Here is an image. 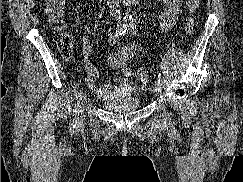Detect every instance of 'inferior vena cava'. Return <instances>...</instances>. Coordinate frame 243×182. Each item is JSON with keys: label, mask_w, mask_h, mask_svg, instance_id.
<instances>
[{"label": "inferior vena cava", "mask_w": 243, "mask_h": 182, "mask_svg": "<svg viewBox=\"0 0 243 182\" xmlns=\"http://www.w3.org/2000/svg\"><path fill=\"white\" fill-rule=\"evenodd\" d=\"M107 5L110 9V13L114 15L120 14L119 0H107Z\"/></svg>", "instance_id": "1"}]
</instances>
